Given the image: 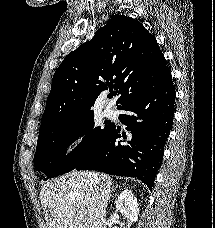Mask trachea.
<instances>
[{
	"label": "trachea",
	"mask_w": 215,
	"mask_h": 228,
	"mask_svg": "<svg viewBox=\"0 0 215 228\" xmlns=\"http://www.w3.org/2000/svg\"><path fill=\"white\" fill-rule=\"evenodd\" d=\"M113 95H115V93H110V94L108 95V97H109V98H112Z\"/></svg>",
	"instance_id": "1"
}]
</instances>
